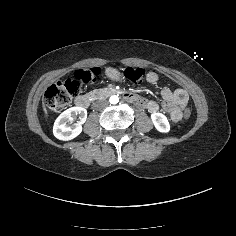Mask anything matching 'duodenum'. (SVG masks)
Listing matches in <instances>:
<instances>
[{"label": "duodenum", "mask_w": 236, "mask_h": 236, "mask_svg": "<svg viewBox=\"0 0 236 236\" xmlns=\"http://www.w3.org/2000/svg\"><path fill=\"white\" fill-rule=\"evenodd\" d=\"M116 93L117 91L113 88H104V89L99 90L95 94V96L107 97V96L114 95ZM124 97L127 101L135 103L136 106L141 109L148 108L150 111H155L157 109V105L155 103H148L145 99L138 98L134 94L126 93L124 94ZM90 102H91V98L90 96H87V95H79L75 99V105L83 109L88 108V106L90 105ZM177 103H178V99L176 96H174L172 99L166 100L164 104L165 109L169 112V114L171 115L173 119H175L178 113Z\"/></svg>", "instance_id": "obj_1"}]
</instances>
